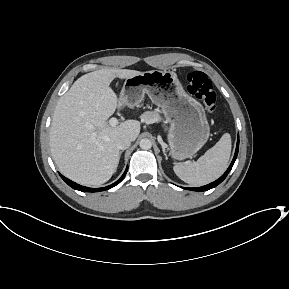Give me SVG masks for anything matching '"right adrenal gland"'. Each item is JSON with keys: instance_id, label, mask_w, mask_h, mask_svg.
Returning a JSON list of instances; mask_svg holds the SVG:
<instances>
[{"instance_id": "right-adrenal-gland-1", "label": "right adrenal gland", "mask_w": 289, "mask_h": 289, "mask_svg": "<svg viewBox=\"0 0 289 289\" xmlns=\"http://www.w3.org/2000/svg\"><path fill=\"white\" fill-rule=\"evenodd\" d=\"M121 154H122V151H120V156H121Z\"/></svg>"}]
</instances>
